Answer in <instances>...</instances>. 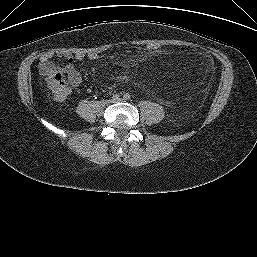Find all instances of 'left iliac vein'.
Here are the masks:
<instances>
[{"mask_svg":"<svg viewBox=\"0 0 257 257\" xmlns=\"http://www.w3.org/2000/svg\"><path fill=\"white\" fill-rule=\"evenodd\" d=\"M120 101H122V99H118V100H116V101H114V102H120Z\"/></svg>","mask_w":257,"mask_h":257,"instance_id":"obj_1","label":"left iliac vein"}]
</instances>
